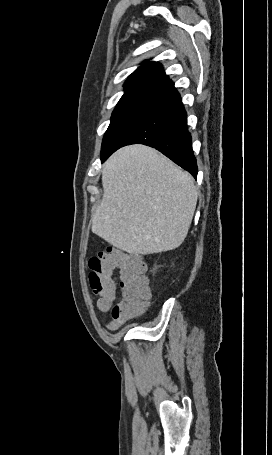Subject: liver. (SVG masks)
Returning a JSON list of instances; mask_svg holds the SVG:
<instances>
[{"mask_svg": "<svg viewBox=\"0 0 272 455\" xmlns=\"http://www.w3.org/2000/svg\"><path fill=\"white\" fill-rule=\"evenodd\" d=\"M103 199L92 232L130 254L178 248L190 228L198 198L194 179L143 145L116 151L102 169Z\"/></svg>", "mask_w": 272, "mask_h": 455, "instance_id": "6515ba94", "label": "liver"}]
</instances>
